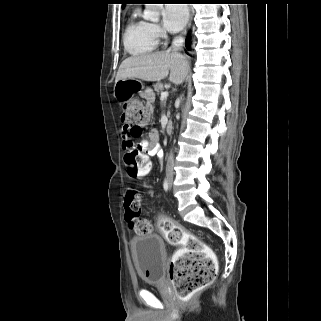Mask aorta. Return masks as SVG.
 Listing matches in <instances>:
<instances>
[{"mask_svg":"<svg viewBox=\"0 0 321 321\" xmlns=\"http://www.w3.org/2000/svg\"><path fill=\"white\" fill-rule=\"evenodd\" d=\"M163 4H146L143 18L151 21H158Z\"/></svg>","mask_w":321,"mask_h":321,"instance_id":"obj_1","label":"aorta"}]
</instances>
